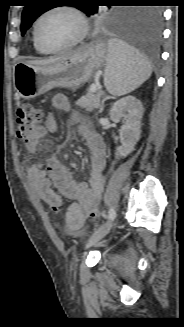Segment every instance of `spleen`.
Instances as JSON below:
<instances>
[{
	"mask_svg": "<svg viewBox=\"0 0 184 327\" xmlns=\"http://www.w3.org/2000/svg\"><path fill=\"white\" fill-rule=\"evenodd\" d=\"M151 73L149 61L139 51L118 39L108 40L104 84L111 95L134 91Z\"/></svg>",
	"mask_w": 184,
	"mask_h": 327,
	"instance_id": "1",
	"label": "spleen"
}]
</instances>
